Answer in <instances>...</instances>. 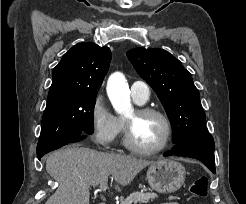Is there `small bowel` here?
I'll list each match as a JSON object with an SVG mask.
<instances>
[{"label":"small bowel","mask_w":246,"mask_h":204,"mask_svg":"<svg viewBox=\"0 0 246 204\" xmlns=\"http://www.w3.org/2000/svg\"><path fill=\"white\" fill-rule=\"evenodd\" d=\"M164 204H179V203H176V202H169V203H164Z\"/></svg>","instance_id":"1"}]
</instances>
